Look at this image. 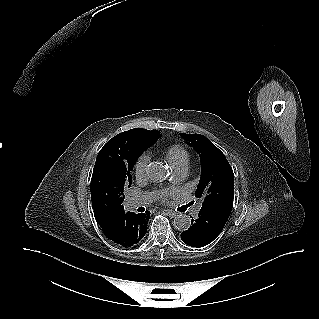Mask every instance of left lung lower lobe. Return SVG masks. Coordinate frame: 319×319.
<instances>
[{
    "label": "left lung lower lobe",
    "mask_w": 319,
    "mask_h": 319,
    "mask_svg": "<svg viewBox=\"0 0 319 319\" xmlns=\"http://www.w3.org/2000/svg\"><path fill=\"white\" fill-rule=\"evenodd\" d=\"M233 205L219 204L202 207L198 218L191 220V227L181 233L182 241L192 247L211 243L221 232L229 218Z\"/></svg>",
    "instance_id": "left-lung-lower-lobe-1"
}]
</instances>
